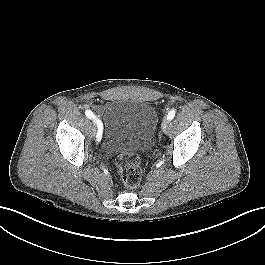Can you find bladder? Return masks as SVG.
I'll use <instances>...</instances> for the list:
<instances>
[{
    "mask_svg": "<svg viewBox=\"0 0 265 265\" xmlns=\"http://www.w3.org/2000/svg\"><path fill=\"white\" fill-rule=\"evenodd\" d=\"M158 123L156 108L144 101L114 99L106 103L102 149L111 155L146 152Z\"/></svg>",
    "mask_w": 265,
    "mask_h": 265,
    "instance_id": "31cf9c89",
    "label": "bladder"
}]
</instances>
